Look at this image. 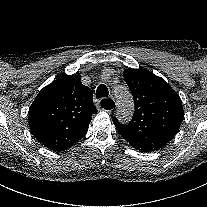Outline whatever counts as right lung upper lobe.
I'll return each mask as SVG.
<instances>
[{
    "label": "right lung upper lobe",
    "mask_w": 207,
    "mask_h": 207,
    "mask_svg": "<svg viewBox=\"0 0 207 207\" xmlns=\"http://www.w3.org/2000/svg\"><path fill=\"white\" fill-rule=\"evenodd\" d=\"M97 109L80 75L62 76L44 87L29 110V125L45 147L63 151L82 139Z\"/></svg>",
    "instance_id": "1"
}]
</instances>
